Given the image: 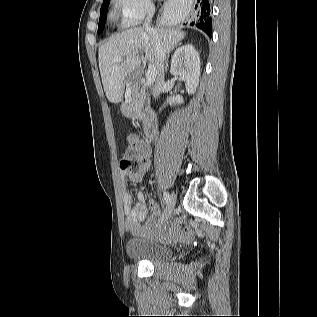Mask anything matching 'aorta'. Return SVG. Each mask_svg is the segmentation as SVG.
I'll use <instances>...</instances> for the list:
<instances>
[{"label":"aorta","instance_id":"obj_1","mask_svg":"<svg viewBox=\"0 0 317 317\" xmlns=\"http://www.w3.org/2000/svg\"><path fill=\"white\" fill-rule=\"evenodd\" d=\"M174 21H177L175 18L174 19H171V22H174Z\"/></svg>","mask_w":317,"mask_h":317}]
</instances>
